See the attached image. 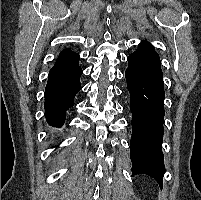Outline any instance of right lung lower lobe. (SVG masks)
<instances>
[{"label":"right lung lower lobe","mask_w":201,"mask_h":200,"mask_svg":"<svg viewBox=\"0 0 201 200\" xmlns=\"http://www.w3.org/2000/svg\"><path fill=\"white\" fill-rule=\"evenodd\" d=\"M80 66L48 77L45 88V117L49 125L61 127L65 121L66 111L74 105V97L81 89Z\"/></svg>","instance_id":"right-lung-lower-lobe-1"}]
</instances>
